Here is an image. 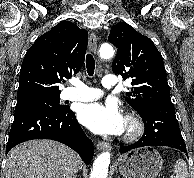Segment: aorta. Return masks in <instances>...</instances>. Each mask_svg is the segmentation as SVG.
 <instances>
[{"label":"aorta","mask_w":194,"mask_h":178,"mask_svg":"<svg viewBox=\"0 0 194 178\" xmlns=\"http://www.w3.org/2000/svg\"><path fill=\"white\" fill-rule=\"evenodd\" d=\"M99 52L102 59H110L114 55L113 47L107 43L101 45ZM110 158L108 151L101 153L93 163L90 178H107Z\"/></svg>","instance_id":"aorta-1"}]
</instances>
